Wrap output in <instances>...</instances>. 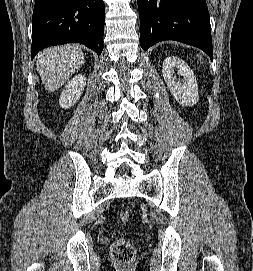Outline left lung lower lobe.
Masks as SVG:
<instances>
[{
    "label": "left lung lower lobe",
    "mask_w": 253,
    "mask_h": 271,
    "mask_svg": "<svg viewBox=\"0 0 253 271\" xmlns=\"http://www.w3.org/2000/svg\"><path fill=\"white\" fill-rule=\"evenodd\" d=\"M140 45L175 40L203 50L213 60L206 0H137Z\"/></svg>",
    "instance_id": "0a47b994"
}]
</instances>
